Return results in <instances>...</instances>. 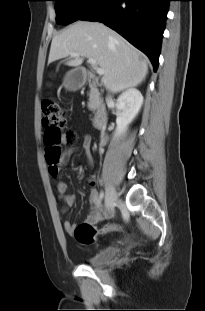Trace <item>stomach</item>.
<instances>
[{"label":"stomach","mask_w":205,"mask_h":311,"mask_svg":"<svg viewBox=\"0 0 205 311\" xmlns=\"http://www.w3.org/2000/svg\"><path fill=\"white\" fill-rule=\"evenodd\" d=\"M84 74L78 70L69 71L64 79L67 89L74 90L81 87L84 84Z\"/></svg>","instance_id":"obj_1"}]
</instances>
